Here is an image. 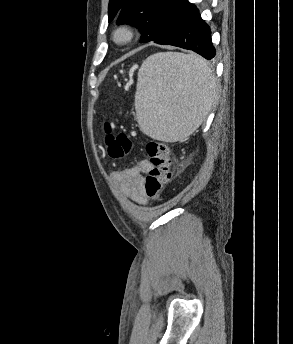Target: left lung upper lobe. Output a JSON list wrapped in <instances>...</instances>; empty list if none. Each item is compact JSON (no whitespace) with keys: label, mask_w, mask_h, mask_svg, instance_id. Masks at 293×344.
Segmentation results:
<instances>
[{"label":"left lung upper lobe","mask_w":293,"mask_h":344,"mask_svg":"<svg viewBox=\"0 0 293 344\" xmlns=\"http://www.w3.org/2000/svg\"><path fill=\"white\" fill-rule=\"evenodd\" d=\"M188 0H110L109 22L118 15V23L138 27L142 42L160 43L179 25L189 10Z\"/></svg>","instance_id":"left-lung-upper-lobe-1"}]
</instances>
